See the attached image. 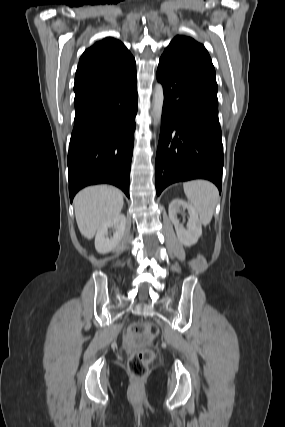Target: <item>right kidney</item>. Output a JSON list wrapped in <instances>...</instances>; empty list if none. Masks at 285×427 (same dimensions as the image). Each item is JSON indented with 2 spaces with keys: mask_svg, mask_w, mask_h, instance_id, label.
<instances>
[{
  "mask_svg": "<svg viewBox=\"0 0 285 427\" xmlns=\"http://www.w3.org/2000/svg\"><path fill=\"white\" fill-rule=\"evenodd\" d=\"M115 230L113 237L108 238V229ZM126 229V217L119 214L99 227L95 236V248L98 253L105 254L114 250L121 243Z\"/></svg>",
  "mask_w": 285,
  "mask_h": 427,
  "instance_id": "1",
  "label": "right kidney"
}]
</instances>
